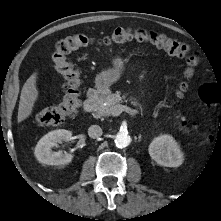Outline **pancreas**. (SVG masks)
<instances>
[{"instance_id":"pancreas-1","label":"pancreas","mask_w":221,"mask_h":221,"mask_svg":"<svg viewBox=\"0 0 221 221\" xmlns=\"http://www.w3.org/2000/svg\"><path fill=\"white\" fill-rule=\"evenodd\" d=\"M126 95L124 94L121 96L120 91H116L115 93L108 94L105 98L101 99L97 105L93 109L92 115L95 118H101L105 116L112 115V111L116 105H119L121 102L126 101ZM131 104L134 106H140L138 101L131 97L130 98Z\"/></svg>"}]
</instances>
